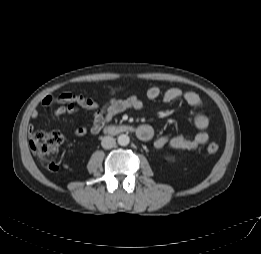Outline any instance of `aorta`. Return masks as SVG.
Masks as SVG:
<instances>
[{
	"label": "aorta",
	"mask_w": 261,
	"mask_h": 254,
	"mask_svg": "<svg viewBox=\"0 0 261 254\" xmlns=\"http://www.w3.org/2000/svg\"><path fill=\"white\" fill-rule=\"evenodd\" d=\"M118 144L121 145V146H127L130 142V138L128 135L126 134H121L118 136Z\"/></svg>",
	"instance_id": "obj_1"
}]
</instances>
